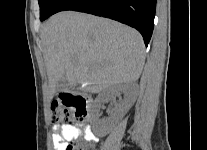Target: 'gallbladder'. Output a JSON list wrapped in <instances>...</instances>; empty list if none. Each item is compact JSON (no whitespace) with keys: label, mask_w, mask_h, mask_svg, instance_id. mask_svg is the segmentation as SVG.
<instances>
[{"label":"gallbladder","mask_w":207,"mask_h":150,"mask_svg":"<svg viewBox=\"0 0 207 150\" xmlns=\"http://www.w3.org/2000/svg\"><path fill=\"white\" fill-rule=\"evenodd\" d=\"M69 84L66 77L61 78L56 85V93L62 92L68 88Z\"/></svg>","instance_id":"gallbladder-1"}]
</instances>
